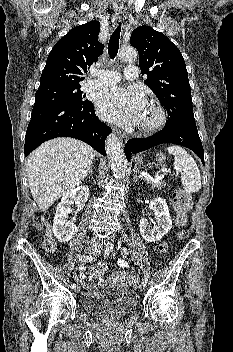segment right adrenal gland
Returning a JSON list of instances; mask_svg holds the SVG:
<instances>
[{
  "instance_id": "obj_1",
  "label": "right adrenal gland",
  "mask_w": 233,
  "mask_h": 352,
  "mask_svg": "<svg viewBox=\"0 0 233 352\" xmlns=\"http://www.w3.org/2000/svg\"><path fill=\"white\" fill-rule=\"evenodd\" d=\"M89 174H91V175L93 174L92 167L90 168V170H89V172H88L87 176H88Z\"/></svg>"
}]
</instances>
